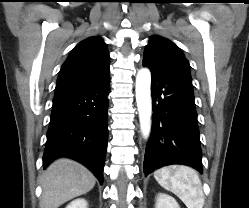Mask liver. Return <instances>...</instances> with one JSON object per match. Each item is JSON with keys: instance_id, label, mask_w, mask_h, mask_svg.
Listing matches in <instances>:
<instances>
[{"instance_id": "liver-1", "label": "liver", "mask_w": 249, "mask_h": 208, "mask_svg": "<svg viewBox=\"0 0 249 208\" xmlns=\"http://www.w3.org/2000/svg\"><path fill=\"white\" fill-rule=\"evenodd\" d=\"M40 183V208H58L93 189L96 178L80 163L68 158H59L45 170Z\"/></svg>"}]
</instances>
